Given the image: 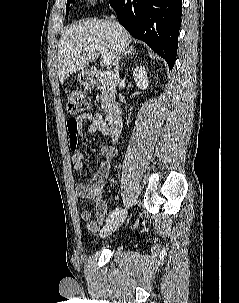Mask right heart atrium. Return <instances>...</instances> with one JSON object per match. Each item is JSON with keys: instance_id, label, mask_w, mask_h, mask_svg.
Returning a JSON list of instances; mask_svg holds the SVG:
<instances>
[{"instance_id": "obj_1", "label": "right heart atrium", "mask_w": 239, "mask_h": 303, "mask_svg": "<svg viewBox=\"0 0 239 303\" xmlns=\"http://www.w3.org/2000/svg\"><path fill=\"white\" fill-rule=\"evenodd\" d=\"M88 1H97V0H88Z\"/></svg>"}]
</instances>
